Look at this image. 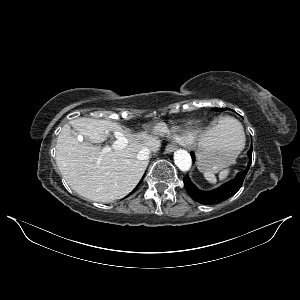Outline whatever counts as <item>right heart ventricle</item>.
Masks as SVG:
<instances>
[{
    "label": "right heart ventricle",
    "mask_w": 300,
    "mask_h": 300,
    "mask_svg": "<svg viewBox=\"0 0 300 300\" xmlns=\"http://www.w3.org/2000/svg\"><path fill=\"white\" fill-rule=\"evenodd\" d=\"M195 137V133L191 130H185L182 132V135L178 137V140L181 143L189 144L192 143Z\"/></svg>",
    "instance_id": "e07e8e85"
}]
</instances>
